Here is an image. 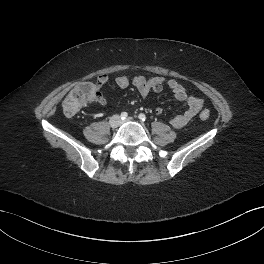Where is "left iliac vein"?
I'll list each match as a JSON object with an SVG mask.
<instances>
[{
  "instance_id": "4c4485c4",
  "label": "left iliac vein",
  "mask_w": 264,
  "mask_h": 264,
  "mask_svg": "<svg viewBox=\"0 0 264 264\" xmlns=\"http://www.w3.org/2000/svg\"><path fill=\"white\" fill-rule=\"evenodd\" d=\"M134 119L132 117H128L125 121L129 122V121H133Z\"/></svg>"
}]
</instances>
